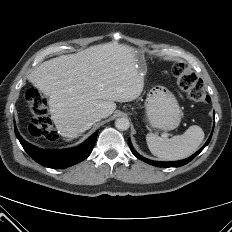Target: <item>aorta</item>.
I'll return each instance as SVG.
<instances>
[{
    "mask_svg": "<svg viewBox=\"0 0 232 232\" xmlns=\"http://www.w3.org/2000/svg\"><path fill=\"white\" fill-rule=\"evenodd\" d=\"M130 126V122L127 118H118L116 119L115 121V127L118 129V130H121V131H125L129 128Z\"/></svg>",
    "mask_w": 232,
    "mask_h": 232,
    "instance_id": "obj_1",
    "label": "aorta"
}]
</instances>
